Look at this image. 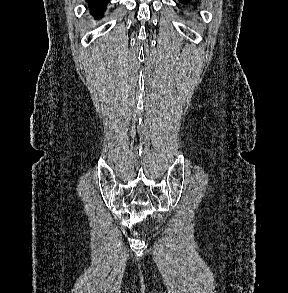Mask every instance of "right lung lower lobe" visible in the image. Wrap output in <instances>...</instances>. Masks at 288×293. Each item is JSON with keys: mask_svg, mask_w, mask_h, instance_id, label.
I'll return each mask as SVG.
<instances>
[{"mask_svg": "<svg viewBox=\"0 0 288 293\" xmlns=\"http://www.w3.org/2000/svg\"><path fill=\"white\" fill-rule=\"evenodd\" d=\"M89 4V8L91 13L96 17L99 18L101 13L106 9V5L109 0H86Z\"/></svg>", "mask_w": 288, "mask_h": 293, "instance_id": "obj_1", "label": "right lung lower lobe"}]
</instances>
